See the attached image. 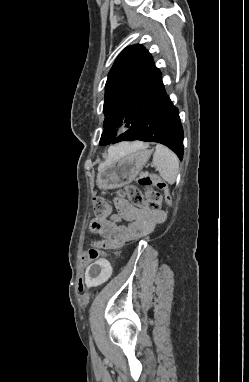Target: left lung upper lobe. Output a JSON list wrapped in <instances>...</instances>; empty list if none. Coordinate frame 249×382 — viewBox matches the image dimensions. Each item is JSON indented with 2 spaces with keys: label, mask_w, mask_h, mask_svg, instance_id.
<instances>
[{
  "label": "left lung upper lobe",
  "mask_w": 249,
  "mask_h": 382,
  "mask_svg": "<svg viewBox=\"0 0 249 382\" xmlns=\"http://www.w3.org/2000/svg\"><path fill=\"white\" fill-rule=\"evenodd\" d=\"M161 72L142 45L124 49L111 68L105 89L104 131L100 145L113 142L115 126L124 122L131 127L143 115L162 87Z\"/></svg>",
  "instance_id": "left-lung-upper-lobe-1"
}]
</instances>
